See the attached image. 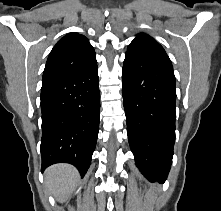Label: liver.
<instances>
[{"mask_svg": "<svg viewBox=\"0 0 221 211\" xmlns=\"http://www.w3.org/2000/svg\"><path fill=\"white\" fill-rule=\"evenodd\" d=\"M79 182V173L69 164H55L45 171V183L49 193L63 203L76 189Z\"/></svg>", "mask_w": 221, "mask_h": 211, "instance_id": "6515ba94", "label": "liver"}]
</instances>
